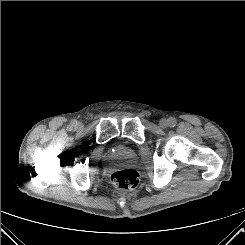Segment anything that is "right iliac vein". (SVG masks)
Segmentation results:
<instances>
[{
    "instance_id": "obj_1",
    "label": "right iliac vein",
    "mask_w": 245,
    "mask_h": 245,
    "mask_svg": "<svg viewBox=\"0 0 245 245\" xmlns=\"http://www.w3.org/2000/svg\"><path fill=\"white\" fill-rule=\"evenodd\" d=\"M82 126H83L82 123H77V124H76L77 129H81Z\"/></svg>"
}]
</instances>
